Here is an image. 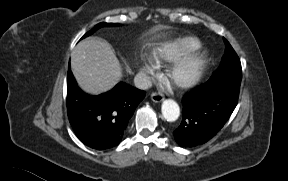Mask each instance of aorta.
<instances>
[{
	"label": "aorta",
	"mask_w": 288,
	"mask_h": 181,
	"mask_svg": "<svg viewBox=\"0 0 288 181\" xmlns=\"http://www.w3.org/2000/svg\"><path fill=\"white\" fill-rule=\"evenodd\" d=\"M161 111L163 117L169 122L176 121L180 115L179 105L172 99L163 101Z\"/></svg>",
	"instance_id": "762f6f07"
}]
</instances>
